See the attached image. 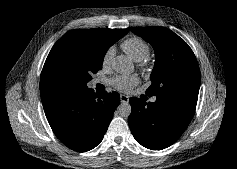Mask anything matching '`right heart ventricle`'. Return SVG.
Listing matches in <instances>:
<instances>
[{"instance_id":"e07e8e85","label":"right heart ventricle","mask_w":237,"mask_h":169,"mask_svg":"<svg viewBox=\"0 0 237 169\" xmlns=\"http://www.w3.org/2000/svg\"><path fill=\"white\" fill-rule=\"evenodd\" d=\"M123 51L133 60L139 62L149 55V44L139 37H130L121 44Z\"/></svg>"}]
</instances>
